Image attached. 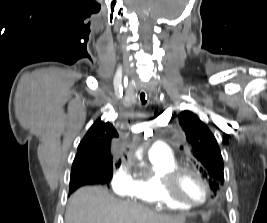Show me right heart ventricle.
Returning a JSON list of instances; mask_svg holds the SVG:
<instances>
[{
	"instance_id": "obj_1",
	"label": "right heart ventricle",
	"mask_w": 267,
	"mask_h": 223,
	"mask_svg": "<svg viewBox=\"0 0 267 223\" xmlns=\"http://www.w3.org/2000/svg\"><path fill=\"white\" fill-rule=\"evenodd\" d=\"M149 161V169L133 177L132 187L126 195L155 208L167 207L187 212L189 207L166 199L162 191L161 179L166 172L177 166V161L172 156L166 159L149 157Z\"/></svg>"
}]
</instances>
